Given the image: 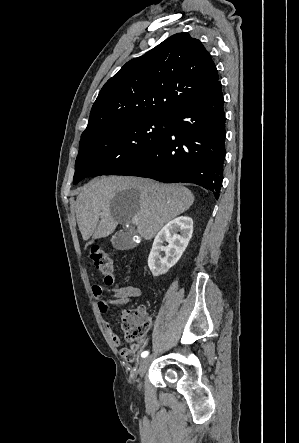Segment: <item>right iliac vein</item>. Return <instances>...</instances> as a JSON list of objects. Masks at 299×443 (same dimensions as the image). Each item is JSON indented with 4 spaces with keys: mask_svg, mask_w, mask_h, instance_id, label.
Here are the masks:
<instances>
[{
    "mask_svg": "<svg viewBox=\"0 0 299 443\" xmlns=\"http://www.w3.org/2000/svg\"><path fill=\"white\" fill-rule=\"evenodd\" d=\"M149 363H150V358H144V359H142L140 361V364H139V374H140L141 377L146 372V370H147V368L149 366ZM139 386H140V384H139Z\"/></svg>",
    "mask_w": 299,
    "mask_h": 443,
    "instance_id": "obj_1",
    "label": "right iliac vein"
}]
</instances>
